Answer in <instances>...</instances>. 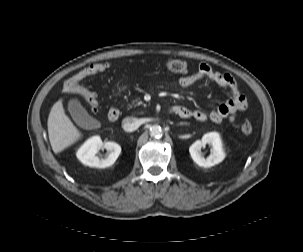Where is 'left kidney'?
<instances>
[{
	"label": "left kidney",
	"mask_w": 303,
	"mask_h": 252,
	"mask_svg": "<svg viewBox=\"0 0 303 252\" xmlns=\"http://www.w3.org/2000/svg\"><path fill=\"white\" fill-rule=\"evenodd\" d=\"M206 144L211 145V154L204 158L201 153V148ZM190 155L193 161L200 167L209 168L225 158V152L222 147L220 135L217 132H209L203 135L201 140L195 141L189 148Z\"/></svg>",
	"instance_id": "left-kidney-1"
}]
</instances>
